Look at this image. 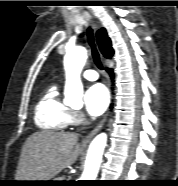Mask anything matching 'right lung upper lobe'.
I'll use <instances>...</instances> for the list:
<instances>
[{"label": "right lung upper lobe", "mask_w": 178, "mask_h": 186, "mask_svg": "<svg viewBox=\"0 0 178 186\" xmlns=\"http://www.w3.org/2000/svg\"><path fill=\"white\" fill-rule=\"evenodd\" d=\"M97 42L99 44V48L102 52V54L106 58H111L114 54V50L111 45V40L107 35V32L104 28L98 30L97 32Z\"/></svg>", "instance_id": "obj_1"}]
</instances>
